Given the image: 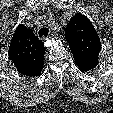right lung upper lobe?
<instances>
[{"mask_svg":"<svg viewBox=\"0 0 113 113\" xmlns=\"http://www.w3.org/2000/svg\"><path fill=\"white\" fill-rule=\"evenodd\" d=\"M44 43L33 31L19 25L9 46V56L17 71L25 76H38L44 64Z\"/></svg>","mask_w":113,"mask_h":113,"instance_id":"right-lung-upper-lobe-1","label":"right lung upper lobe"}]
</instances>
